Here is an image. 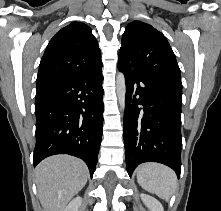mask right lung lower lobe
Returning a JSON list of instances; mask_svg holds the SVG:
<instances>
[{
    "label": "right lung lower lobe",
    "instance_id": "right-lung-lower-lobe-1",
    "mask_svg": "<svg viewBox=\"0 0 221 211\" xmlns=\"http://www.w3.org/2000/svg\"><path fill=\"white\" fill-rule=\"evenodd\" d=\"M102 80L98 68L37 89L34 166L48 156L69 154L81 158L93 176L103 128Z\"/></svg>",
    "mask_w": 221,
    "mask_h": 211
}]
</instances>
